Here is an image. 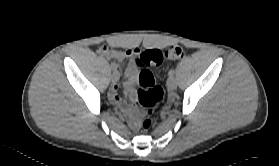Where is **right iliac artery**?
Returning a JSON list of instances; mask_svg holds the SVG:
<instances>
[{
  "label": "right iliac artery",
  "mask_w": 279,
  "mask_h": 166,
  "mask_svg": "<svg viewBox=\"0 0 279 166\" xmlns=\"http://www.w3.org/2000/svg\"><path fill=\"white\" fill-rule=\"evenodd\" d=\"M111 68H112L113 70H116V69H117V65H116L115 63H111Z\"/></svg>",
  "instance_id": "1"
}]
</instances>
